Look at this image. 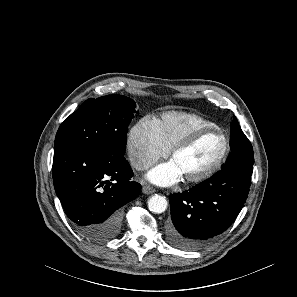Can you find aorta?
I'll return each instance as SVG.
<instances>
[{"mask_svg":"<svg viewBox=\"0 0 297 297\" xmlns=\"http://www.w3.org/2000/svg\"><path fill=\"white\" fill-rule=\"evenodd\" d=\"M148 208L153 213H163L167 209V200L165 197L155 194L149 198Z\"/></svg>","mask_w":297,"mask_h":297,"instance_id":"762f6f07","label":"aorta"}]
</instances>
